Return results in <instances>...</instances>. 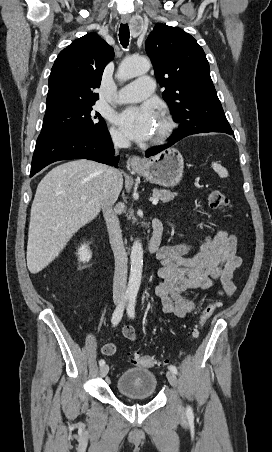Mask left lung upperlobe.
<instances>
[{
    "instance_id": "5c2ea615",
    "label": "left lung upper lobe",
    "mask_w": 272,
    "mask_h": 452,
    "mask_svg": "<svg viewBox=\"0 0 272 452\" xmlns=\"http://www.w3.org/2000/svg\"><path fill=\"white\" fill-rule=\"evenodd\" d=\"M145 49L160 86L165 87L163 98L179 128H231L210 77L206 55L190 34L178 27L156 24Z\"/></svg>"
}]
</instances>
